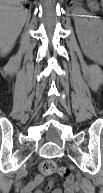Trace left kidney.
Returning a JSON list of instances; mask_svg holds the SVG:
<instances>
[{"instance_id":"1","label":"left kidney","mask_w":103,"mask_h":193,"mask_svg":"<svg viewBox=\"0 0 103 193\" xmlns=\"http://www.w3.org/2000/svg\"><path fill=\"white\" fill-rule=\"evenodd\" d=\"M85 10L77 7L73 10L76 33L84 54L91 60L101 63L102 51V22L98 17L90 16L92 19H82Z\"/></svg>"}]
</instances>
